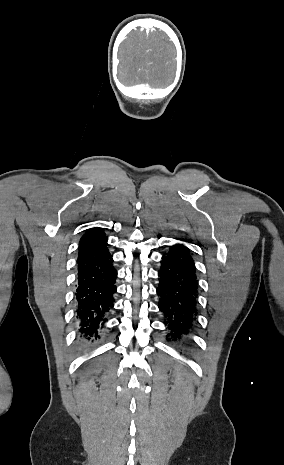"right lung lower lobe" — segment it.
<instances>
[{
	"label": "right lung lower lobe",
	"mask_w": 284,
	"mask_h": 465,
	"mask_svg": "<svg viewBox=\"0 0 284 465\" xmlns=\"http://www.w3.org/2000/svg\"><path fill=\"white\" fill-rule=\"evenodd\" d=\"M107 237L78 256L76 289L79 335L83 345L96 343L114 303L117 270L108 251Z\"/></svg>",
	"instance_id": "98d812e1"
}]
</instances>
